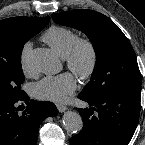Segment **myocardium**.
Returning a JSON list of instances; mask_svg holds the SVG:
<instances>
[{
  "label": "myocardium",
  "instance_id": "1",
  "mask_svg": "<svg viewBox=\"0 0 145 145\" xmlns=\"http://www.w3.org/2000/svg\"><path fill=\"white\" fill-rule=\"evenodd\" d=\"M65 62L67 68L79 79H90L98 63V52L94 42L88 37H78L65 57Z\"/></svg>",
  "mask_w": 145,
  "mask_h": 145
}]
</instances>
